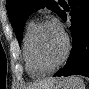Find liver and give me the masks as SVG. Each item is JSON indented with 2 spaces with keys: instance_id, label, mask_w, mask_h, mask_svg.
<instances>
[{
  "instance_id": "obj_1",
  "label": "liver",
  "mask_w": 89,
  "mask_h": 89,
  "mask_svg": "<svg viewBox=\"0 0 89 89\" xmlns=\"http://www.w3.org/2000/svg\"><path fill=\"white\" fill-rule=\"evenodd\" d=\"M57 81H59V78L45 79L38 83L31 84L28 89H49L53 87Z\"/></svg>"
}]
</instances>
